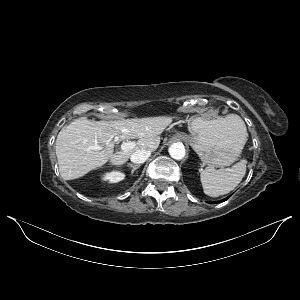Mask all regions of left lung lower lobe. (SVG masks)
Wrapping results in <instances>:
<instances>
[{
  "label": "left lung lower lobe",
  "mask_w": 300,
  "mask_h": 300,
  "mask_svg": "<svg viewBox=\"0 0 300 300\" xmlns=\"http://www.w3.org/2000/svg\"><path fill=\"white\" fill-rule=\"evenodd\" d=\"M228 198H225L224 200H222V201H225V200H227ZM222 201H220V202H222Z\"/></svg>",
  "instance_id": "obj_1"
}]
</instances>
